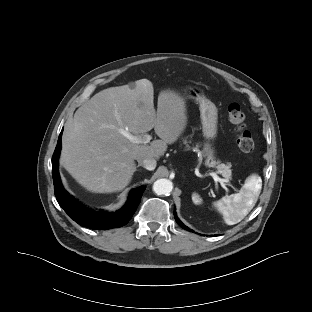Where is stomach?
Here are the masks:
<instances>
[{
	"label": "stomach",
	"instance_id": "0dacf381",
	"mask_svg": "<svg viewBox=\"0 0 312 312\" xmlns=\"http://www.w3.org/2000/svg\"><path fill=\"white\" fill-rule=\"evenodd\" d=\"M183 94L190 99H195L200 104V117L202 123L203 135L207 142L204 144L203 154L208 160L214 157V150L210 141L217 136L218 110L214 103L208 100L203 90L195 86H186L183 88Z\"/></svg>",
	"mask_w": 312,
	"mask_h": 312
}]
</instances>
